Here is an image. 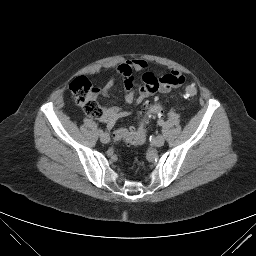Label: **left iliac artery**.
<instances>
[{"label": "left iliac artery", "instance_id": "left-iliac-artery-1", "mask_svg": "<svg viewBox=\"0 0 256 256\" xmlns=\"http://www.w3.org/2000/svg\"><path fill=\"white\" fill-rule=\"evenodd\" d=\"M158 124H159L160 126H162V125L164 124V121H163V120H158Z\"/></svg>", "mask_w": 256, "mask_h": 256}]
</instances>
